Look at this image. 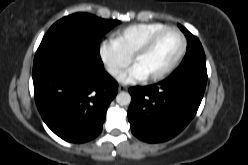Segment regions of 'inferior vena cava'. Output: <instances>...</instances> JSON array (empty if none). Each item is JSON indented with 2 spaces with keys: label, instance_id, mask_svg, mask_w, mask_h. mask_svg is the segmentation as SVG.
Returning a JSON list of instances; mask_svg holds the SVG:
<instances>
[{
  "label": "inferior vena cava",
  "instance_id": "602c4592",
  "mask_svg": "<svg viewBox=\"0 0 248 165\" xmlns=\"http://www.w3.org/2000/svg\"><path fill=\"white\" fill-rule=\"evenodd\" d=\"M109 72H110L112 75H117V74L120 72V70H119L118 68H111V69L109 70Z\"/></svg>",
  "mask_w": 248,
  "mask_h": 165
}]
</instances>
